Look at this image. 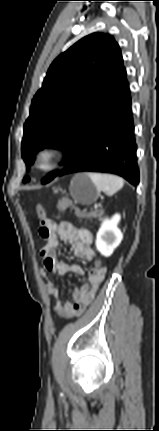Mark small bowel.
<instances>
[{"label":"small bowel","mask_w":159,"mask_h":431,"mask_svg":"<svg viewBox=\"0 0 159 431\" xmlns=\"http://www.w3.org/2000/svg\"><path fill=\"white\" fill-rule=\"evenodd\" d=\"M40 236L46 241L40 251L44 267L40 270L42 275L47 273L56 276H64L68 273L83 274L84 270L80 265L69 264L60 261L56 255L59 246V238L71 245L74 255L82 260L90 261L94 258L92 234L86 229H78L68 222H55L48 219L41 223ZM107 273L104 263L93 266L88 275V281L81 287H74L69 298L65 302L58 301L55 311L59 316L72 317L82 313L95 298L102 281ZM46 290L49 294L58 297L60 289L53 281L48 280Z\"/></svg>","instance_id":"1"}]
</instances>
